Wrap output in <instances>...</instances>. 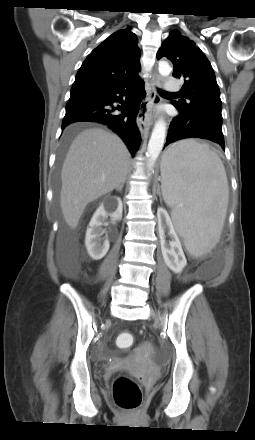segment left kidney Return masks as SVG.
<instances>
[{
	"label": "left kidney",
	"instance_id": "obj_1",
	"mask_svg": "<svg viewBox=\"0 0 255 440\" xmlns=\"http://www.w3.org/2000/svg\"><path fill=\"white\" fill-rule=\"evenodd\" d=\"M157 216L163 259L170 270H172L174 273H180L187 265V260L185 258L178 235L165 209L158 208ZM165 229H168V235L171 238L169 243H167L165 240Z\"/></svg>",
	"mask_w": 255,
	"mask_h": 440
}]
</instances>
